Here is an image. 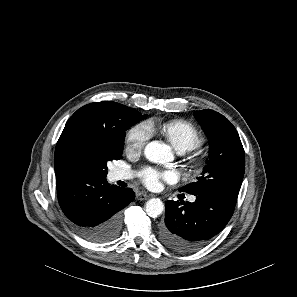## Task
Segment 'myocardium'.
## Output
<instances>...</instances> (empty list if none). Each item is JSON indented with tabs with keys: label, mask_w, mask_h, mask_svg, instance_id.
I'll return each instance as SVG.
<instances>
[{
	"label": "myocardium",
	"mask_w": 297,
	"mask_h": 297,
	"mask_svg": "<svg viewBox=\"0 0 297 297\" xmlns=\"http://www.w3.org/2000/svg\"><path fill=\"white\" fill-rule=\"evenodd\" d=\"M195 159H196L197 161H200V160H201V156L198 155V154H196V155H195Z\"/></svg>",
	"instance_id": "obj_1"
}]
</instances>
